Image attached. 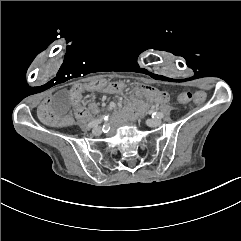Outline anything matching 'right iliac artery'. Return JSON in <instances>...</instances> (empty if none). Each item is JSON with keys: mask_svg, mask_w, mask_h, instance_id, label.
<instances>
[{"mask_svg": "<svg viewBox=\"0 0 241 241\" xmlns=\"http://www.w3.org/2000/svg\"><path fill=\"white\" fill-rule=\"evenodd\" d=\"M108 117H109L108 115H103V116H101L100 118L93 120L92 122L89 123V127L92 128V127L97 126V125L100 124L102 121L108 120Z\"/></svg>", "mask_w": 241, "mask_h": 241, "instance_id": "1", "label": "right iliac artery"}]
</instances>
